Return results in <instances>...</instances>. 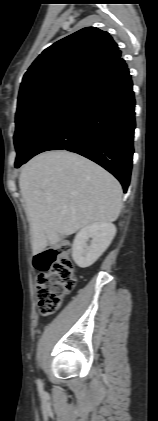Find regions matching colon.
I'll return each mask as SVG.
<instances>
[{"label": "colon", "mask_w": 158, "mask_h": 421, "mask_svg": "<svg viewBox=\"0 0 158 421\" xmlns=\"http://www.w3.org/2000/svg\"><path fill=\"white\" fill-rule=\"evenodd\" d=\"M69 252L70 245L62 243L34 257V265L40 272L35 293L43 315L57 311L63 298L75 287L74 265Z\"/></svg>", "instance_id": "5ec220e1"}]
</instances>
